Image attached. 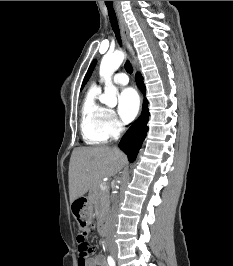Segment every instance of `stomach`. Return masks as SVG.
I'll use <instances>...</instances> for the list:
<instances>
[{
  "label": "stomach",
  "mask_w": 233,
  "mask_h": 266,
  "mask_svg": "<svg viewBox=\"0 0 233 266\" xmlns=\"http://www.w3.org/2000/svg\"><path fill=\"white\" fill-rule=\"evenodd\" d=\"M91 199L87 196H77L72 204L74 221L76 223V232H87V228H92L93 220L90 212Z\"/></svg>",
  "instance_id": "1"
}]
</instances>
